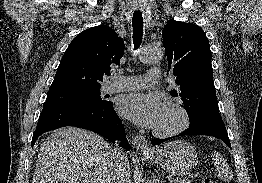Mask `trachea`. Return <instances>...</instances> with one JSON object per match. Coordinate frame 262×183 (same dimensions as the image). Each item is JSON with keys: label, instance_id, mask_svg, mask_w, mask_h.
Masks as SVG:
<instances>
[{"label": "trachea", "instance_id": "1", "mask_svg": "<svg viewBox=\"0 0 262 183\" xmlns=\"http://www.w3.org/2000/svg\"><path fill=\"white\" fill-rule=\"evenodd\" d=\"M134 49H138L143 37V17L140 12H134L132 19Z\"/></svg>", "mask_w": 262, "mask_h": 183}]
</instances>
